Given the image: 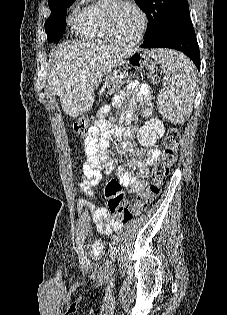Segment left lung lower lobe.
Instances as JSON below:
<instances>
[{
    "label": "left lung lower lobe",
    "instance_id": "1",
    "mask_svg": "<svg viewBox=\"0 0 227 315\" xmlns=\"http://www.w3.org/2000/svg\"><path fill=\"white\" fill-rule=\"evenodd\" d=\"M142 48H172L186 54L200 70L199 47L190 17L167 24L144 40Z\"/></svg>",
    "mask_w": 227,
    "mask_h": 315
}]
</instances>
